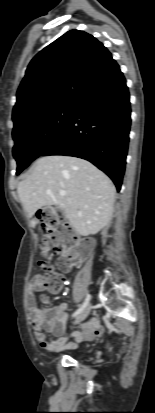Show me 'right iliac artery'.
<instances>
[{
	"label": "right iliac artery",
	"instance_id": "obj_1",
	"mask_svg": "<svg viewBox=\"0 0 155 413\" xmlns=\"http://www.w3.org/2000/svg\"><path fill=\"white\" fill-rule=\"evenodd\" d=\"M89 301H90V295L87 294L82 306L73 314V317L79 315L83 311V309L88 305Z\"/></svg>",
	"mask_w": 155,
	"mask_h": 413
}]
</instances>
